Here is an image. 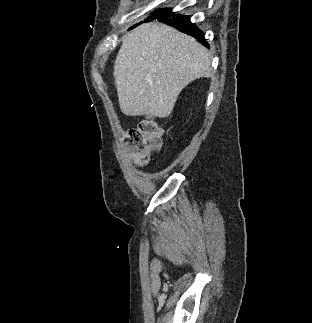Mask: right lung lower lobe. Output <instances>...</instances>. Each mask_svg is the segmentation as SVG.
Wrapping results in <instances>:
<instances>
[{
  "instance_id": "1",
  "label": "right lung lower lobe",
  "mask_w": 312,
  "mask_h": 323,
  "mask_svg": "<svg viewBox=\"0 0 312 323\" xmlns=\"http://www.w3.org/2000/svg\"><path fill=\"white\" fill-rule=\"evenodd\" d=\"M174 16L175 15L173 14L171 16H166L158 20L167 25L175 27L180 31H183L193 36L194 38H197L199 42H201L206 47H209L208 43L204 39V33L189 21L188 16Z\"/></svg>"
}]
</instances>
